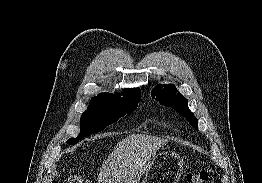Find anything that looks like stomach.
Here are the masks:
<instances>
[{
	"mask_svg": "<svg viewBox=\"0 0 262 183\" xmlns=\"http://www.w3.org/2000/svg\"><path fill=\"white\" fill-rule=\"evenodd\" d=\"M184 166V159L176 152H161L147 167L143 183H178Z\"/></svg>",
	"mask_w": 262,
	"mask_h": 183,
	"instance_id": "stomach-1",
	"label": "stomach"
}]
</instances>
